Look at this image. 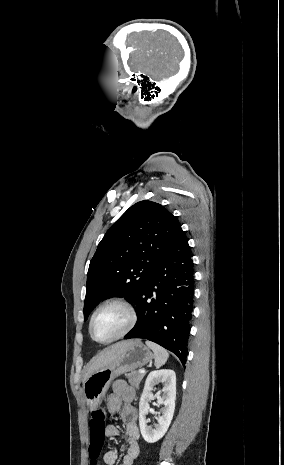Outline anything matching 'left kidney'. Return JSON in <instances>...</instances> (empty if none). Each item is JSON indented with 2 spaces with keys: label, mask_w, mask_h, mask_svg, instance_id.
<instances>
[{
  "label": "left kidney",
  "mask_w": 284,
  "mask_h": 465,
  "mask_svg": "<svg viewBox=\"0 0 284 465\" xmlns=\"http://www.w3.org/2000/svg\"><path fill=\"white\" fill-rule=\"evenodd\" d=\"M163 383L162 397H157L158 405H164L160 413L161 417H157L158 425L148 427L146 415L149 413V401H154L155 397L151 391H153L154 385ZM175 399H176V375L174 371L170 369H162V371H151L149 373L143 393L141 395L139 403V425L141 435L144 441L147 443H156L159 439L164 437L166 431L169 429V425L173 419L175 411Z\"/></svg>",
  "instance_id": "5707ae66"
}]
</instances>
